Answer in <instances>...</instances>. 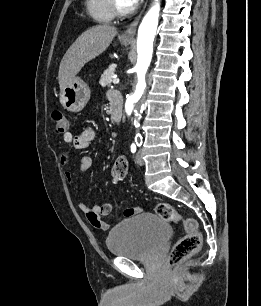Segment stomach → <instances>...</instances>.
<instances>
[{
	"mask_svg": "<svg viewBox=\"0 0 261 306\" xmlns=\"http://www.w3.org/2000/svg\"><path fill=\"white\" fill-rule=\"evenodd\" d=\"M123 45H129V41H122ZM91 96L89 86L80 78L73 81L60 91L61 105L70 112H80L88 103Z\"/></svg>",
	"mask_w": 261,
	"mask_h": 306,
	"instance_id": "0dacf381",
	"label": "stomach"
}]
</instances>
